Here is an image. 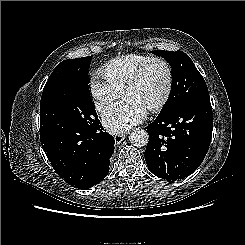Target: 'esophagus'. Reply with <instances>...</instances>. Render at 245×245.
Listing matches in <instances>:
<instances>
[{
	"instance_id": "esophagus-1",
	"label": "esophagus",
	"mask_w": 245,
	"mask_h": 245,
	"mask_svg": "<svg viewBox=\"0 0 245 245\" xmlns=\"http://www.w3.org/2000/svg\"><path fill=\"white\" fill-rule=\"evenodd\" d=\"M124 138H125V135H123V134H117V135H115L114 136L115 143L116 144L121 143L124 140Z\"/></svg>"
}]
</instances>
